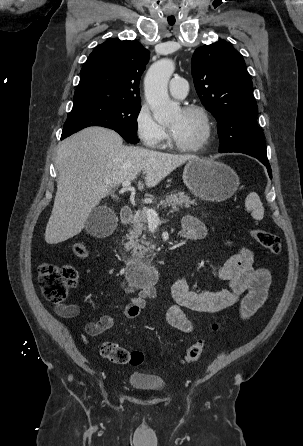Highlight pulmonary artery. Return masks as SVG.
Returning <instances> with one entry per match:
<instances>
[{"label": "pulmonary artery", "mask_w": 303, "mask_h": 446, "mask_svg": "<svg viewBox=\"0 0 303 446\" xmlns=\"http://www.w3.org/2000/svg\"><path fill=\"white\" fill-rule=\"evenodd\" d=\"M169 92L174 98H185L188 93V82L183 77L172 78L169 83Z\"/></svg>", "instance_id": "pulmonary-artery-1"}]
</instances>
